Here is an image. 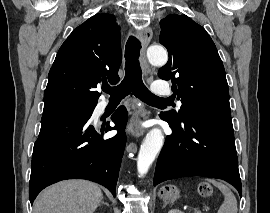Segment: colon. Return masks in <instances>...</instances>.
Segmentation results:
<instances>
[{"label": "colon", "mask_w": 270, "mask_h": 213, "mask_svg": "<svg viewBox=\"0 0 270 213\" xmlns=\"http://www.w3.org/2000/svg\"><path fill=\"white\" fill-rule=\"evenodd\" d=\"M198 192L200 195H202L204 197H209L212 195L213 190L209 184L204 183V184L199 185Z\"/></svg>", "instance_id": "obj_1"}]
</instances>
